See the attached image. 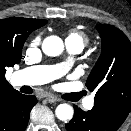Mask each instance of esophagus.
<instances>
[{"label":"esophagus","instance_id":"obj_1","mask_svg":"<svg viewBox=\"0 0 131 131\" xmlns=\"http://www.w3.org/2000/svg\"><path fill=\"white\" fill-rule=\"evenodd\" d=\"M46 99L49 103L60 102L61 99L54 95H46Z\"/></svg>","mask_w":131,"mask_h":131}]
</instances>
